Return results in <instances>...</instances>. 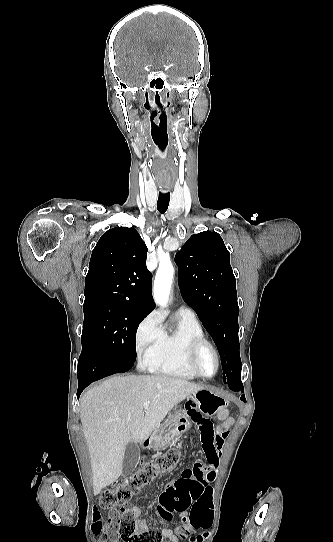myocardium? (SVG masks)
Wrapping results in <instances>:
<instances>
[{
    "label": "myocardium",
    "mask_w": 333,
    "mask_h": 542,
    "mask_svg": "<svg viewBox=\"0 0 333 542\" xmlns=\"http://www.w3.org/2000/svg\"><path fill=\"white\" fill-rule=\"evenodd\" d=\"M204 348H208L213 354V357L215 359V371L212 375H209V376L202 374L197 365L198 356ZM186 361H187L188 368L192 371V373L195 376L204 378V379L213 378L220 369V357H219L218 351L216 350L215 346L205 338L196 340L189 345L187 349Z\"/></svg>",
    "instance_id": "1"
}]
</instances>
